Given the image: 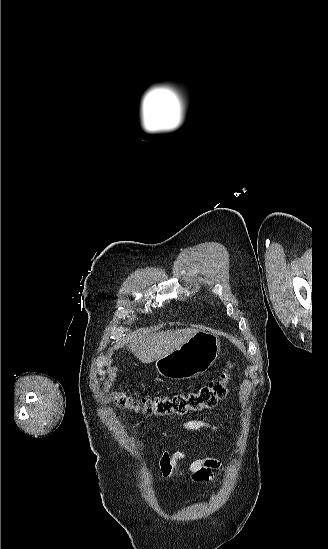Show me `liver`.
Returning a JSON list of instances; mask_svg holds the SVG:
<instances>
[{
    "label": "liver",
    "mask_w": 328,
    "mask_h": 549,
    "mask_svg": "<svg viewBox=\"0 0 328 549\" xmlns=\"http://www.w3.org/2000/svg\"><path fill=\"white\" fill-rule=\"evenodd\" d=\"M155 329H140L130 335L127 345L129 351L141 361V363H153L161 357H166L175 349H179L188 339H191L199 329H176V331H160L153 333Z\"/></svg>",
    "instance_id": "1"
}]
</instances>
